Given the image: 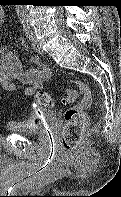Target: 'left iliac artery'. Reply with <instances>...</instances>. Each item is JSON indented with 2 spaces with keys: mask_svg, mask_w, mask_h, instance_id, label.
<instances>
[{
  "mask_svg": "<svg viewBox=\"0 0 121 197\" xmlns=\"http://www.w3.org/2000/svg\"><path fill=\"white\" fill-rule=\"evenodd\" d=\"M23 26H24V31H25V34H26L27 38L29 40H32V31L30 30L29 25L26 24V23L25 24L23 23Z\"/></svg>",
  "mask_w": 121,
  "mask_h": 197,
  "instance_id": "left-iliac-artery-1",
  "label": "left iliac artery"
}]
</instances>
